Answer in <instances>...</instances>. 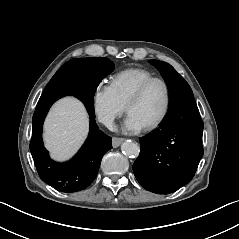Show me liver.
<instances>
[{"instance_id": "6515ba94", "label": "liver", "mask_w": 239, "mask_h": 239, "mask_svg": "<svg viewBox=\"0 0 239 239\" xmlns=\"http://www.w3.org/2000/svg\"><path fill=\"white\" fill-rule=\"evenodd\" d=\"M87 127L88 118L81 103L70 98L59 101L45 121L47 148L56 158L69 156L82 143Z\"/></svg>"}]
</instances>
